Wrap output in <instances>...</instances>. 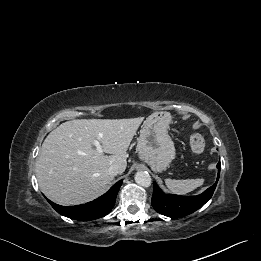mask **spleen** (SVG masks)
Segmentation results:
<instances>
[{"mask_svg":"<svg viewBox=\"0 0 261 261\" xmlns=\"http://www.w3.org/2000/svg\"><path fill=\"white\" fill-rule=\"evenodd\" d=\"M204 183V179H186V180H176V179H165V184L167 188L175 194L185 195L196 188L200 187Z\"/></svg>","mask_w":261,"mask_h":261,"instance_id":"3e777b00","label":"spleen"}]
</instances>
